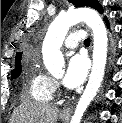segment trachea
<instances>
[{"label": "trachea", "mask_w": 122, "mask_h": 123, "mask_svg": "<svg viewBox=\"0 0 122 123\" xmlns=\"http://www.w3.org/2000/svg\"><path fill=\"white\" fill-rule=\"evenodd\" d=\"M84 44H85V45H90V39L87 38V39L84 41Z\"/></svg>", "instance_id": "1"}]
</instances>
